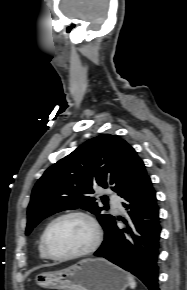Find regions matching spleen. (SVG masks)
<instances>
[{
    "label": "spleen",
    "instance_id": "obj_1",
    "mask_svg": "<svg viewBox=\"0 0 187 290\" xmlns=\"http://www.w3.org/2000/svg\"><path fill=\"white\" fill-rule=\"evenodd\" d=\"M128 279H129V285H130L131 289H134L136 287V282H135L134 278L131 275H129Z\"/></svg>",
    "mask_w": 187,
    "mask_h": 290
}]
</instances>
